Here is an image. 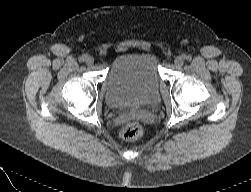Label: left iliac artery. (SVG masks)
I'll return each instance as SVG.
<instances>
[{
  "label": "left iliac artery",
  "mask_w": 251,
  "mask_h": 192,
  "mask_svg": "<svg viewBox=\"0 0 251 192\" xmlns=\"http://www.w3.org/2000/svg\"><path fill=\"white\" fill-rule=\"evenodd\" d=\"M185 59L190 61L192 59V57L190 55H187V56H185Z\"/></svg>",
  "instance_id": "44dca946"
}]
</instances>
